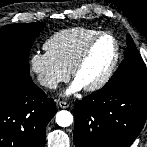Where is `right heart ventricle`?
Wrapping results in <instances>:
<instances>
[{
    "mask_svg": "<svg viewBox=\"0 0 147 147\" xmlns=\"http://www.w3.org/2000/svg\"><path fill=\"white\" fill-rule=\"evenodd\" d=\"M98 32L86 27L64 29L49 37L44 43V48L59 64L70 71L85 44Z\"/></svg>",
    "mask_w": 147,
    "mask_h": 147,
    "instance_id": "1",
    "label": "right heart ventricle"
}]
</instances>
